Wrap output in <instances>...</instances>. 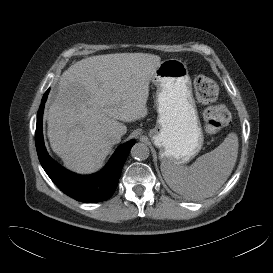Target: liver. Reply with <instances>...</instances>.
I'll list each match as a JSON object with an SVG mask.
<instances>
[{"mask_svg": "<svg viewBox=\"0 0 273 273\" xmlns=\"http://www.w3.org/2000/svg\"><path fill=\"white\" fill-rule=\"evenodd\" d=\"M161 58L147 53L96 55L71 65L49 106L47 135L64 165L96 172L112 150L109 136L124 135L122 122L147 115L149 83Z\"/></svg>", "mask_w": 273, "mask_h": 273, "instance_id": "liver-1", "label": "liver"}]
</instances>
